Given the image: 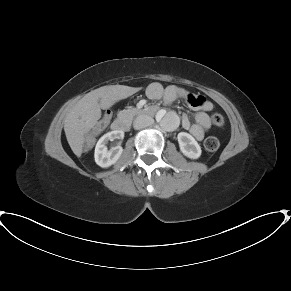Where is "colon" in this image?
Masks as SVG:
<instances>
[{"instance_id": "obj_1", "label": "colon", "mask_w": 291, "mask_h": 291, "mask_svg": "<svg viewBox=\"0 0 291 291\" xmlns=\"http://www.w3.org/2000/svg\"><path fill=\"white\" fill-rule=\"evenodd\" d=\"M111 120V114L110 113H106L103 117V121H102V124L103 125H106L110 122ZM224 117L222 114L220 113H215L211 116V123L215 126H223L224 125ZM204 146H205V149L209 152H215L218 150L219 146H220V143H219V140L214 137V136H210L208 138H206L205 142H204ZM83 152H87L88 151V148H87V145H84L83 147Z\"/></svg>"}]
</instances>
